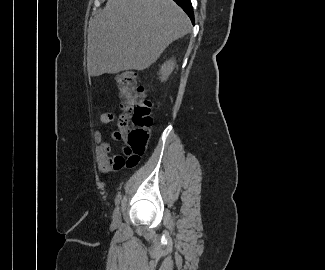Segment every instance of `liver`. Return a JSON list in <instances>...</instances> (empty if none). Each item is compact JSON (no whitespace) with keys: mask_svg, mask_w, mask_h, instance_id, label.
Masks as SVG:
<instances>
[{"mask_svg":"<svg viewBox=\"0 0 325 270\" xmlns=\"http://www.w3.org/2000/svg\"><path fill=\"white\" fill-rule=\"evenodd\" d=\"M189 31V18L173 0H108L89 22L88 73L144 70Z\"/></svg>","mask_w":325,"mask_h":270,"instance_id":"1","label":"liver"}]
</instances>
